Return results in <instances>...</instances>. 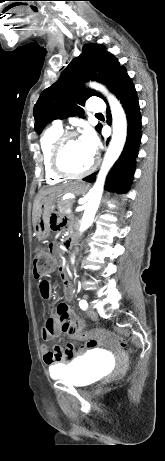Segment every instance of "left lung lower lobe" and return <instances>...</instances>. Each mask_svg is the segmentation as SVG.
I'll use <instances>...</instances> for the list:
<instances>
[{"label":"left lung lower lobe","mask_w":165,"mask_h":461,"mask_svg":"<svg viewBox=\"0 0 165 461\" xmlns=\"http://www.w3.org/2000/svg\"><path fill=\"white\" fill-rule=\"evenodd\" d=\"M112 93L117 96L125 110L128 126L124 149L107 176L105 188L107 191L125 193L129 189L133 178L141 139L139 102L134 84L126 70L117 78L112 88ZM107 115H110L109 111H107ZM96 175L97 173L95 172L83 178V180L91 183L96 179Z\"/></svg>","instance_id":"left-lung-lower-lobe-1"}]
</instances>
